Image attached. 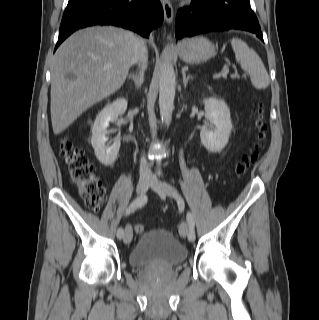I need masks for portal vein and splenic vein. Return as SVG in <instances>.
I'll use <instances>...</instances> for the list:
<instances>
[{"label":"portal vein and splenic vein","mask_w":319,"mask_h":320,"mask_svg":"<svg viewBox=\"0 0 319 320\" xmlns=\"http://www.w3.org/2000/svg\"><path fill=\"white\" fill-rule=\"evenodd\" d=\"M228 73V70L224 71L222 75H226ZM232 78L238 77V74H231Z\"/></svg>","instance_id":"obj_1"}]
</instances>
